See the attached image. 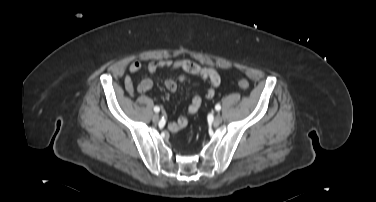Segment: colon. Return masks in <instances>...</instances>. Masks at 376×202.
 Listing matches in <instances>:
<instances>
[{
  "label": "colon",
  "instance_id": "5ec220e1",
  "mask_svg": "<svg viewBox=\"0 0 376 202\" xmlns=\"http://www.w3.org/2000/svg\"><path fill=\"white\" fill-rule=\"evenodd\" d=\"M237 84L238 86L241 88V89H248L249 87V82L248 80L244 79V78H240L238 81H237Z\"/></svg>",
  "mask_w": 376,
  "mask_h": 202
}]
</instances>
